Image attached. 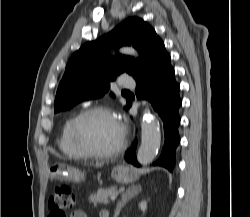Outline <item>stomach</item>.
I'll return each instance as SVG.
<instances>
[{
    "mask_svg": "<svg viewBox=\"0 0 250 217\" xmlns=\"http://www.w3.org/2000/svg\"><path fill=\"white\" fill-rule=\"evenodd\" d=\"M51 176L56 180L73 182H80L84 178L81 171L63 163H57L51 167ZM111 176L116 182L122 184L134 182L138 178L136 170L125 165L115 166Z\"/></svg>",
    "mask_w": 250,
    "mask_h": 217,
    "instance_id": "0dacf381",
    "label": "stomach"
}]
</instances>
